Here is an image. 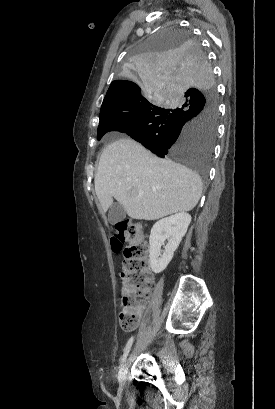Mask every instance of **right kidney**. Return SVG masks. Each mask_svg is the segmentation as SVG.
Masks as SVG:
<instances>
[{
  "mask_svg": "<svg viewBox=\"0 0 275 409\" xmlns=\"http://www.w3.org/2000/svg\"><path fill=\"white\" fill-rule=\"evenodd\" d=\"M190 223L191 215L177 213V215L161 219L153 225L149 237V257L153 273H161L169 265L174 251L179 247ZM166 239L168 243L161 255V247Z\"/></svg>",
  "mask_w": 275,
  "mask_h": 409,
  "instance_id": "obj_1",
  "label": "right kidney"
}]
</instances>
